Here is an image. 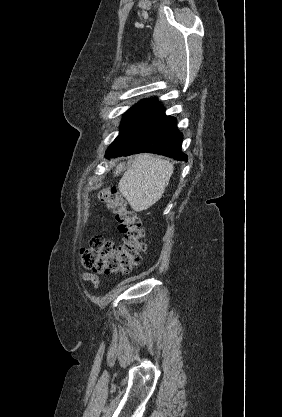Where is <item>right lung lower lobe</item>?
<instances>
[{
	"instance_id": "98d812e1",
	"label": "right lung lower lobe",
	"mask_w": 282,
	"mask_h": 417,
	"mask_svg": "<svg viewBox=\"0 0 282 417\" xmlns=\"http://www.w3.org/2000/svg\"><path fill=\"white\" fill-rule=\"evenodd\" d=\"M164 111L160 103H154L120 132L107 149L106 157L149 152L187 161V155L181 151L183 134L177 130L176 119L166 116Z\"/></svg>"
}]
</instances>
